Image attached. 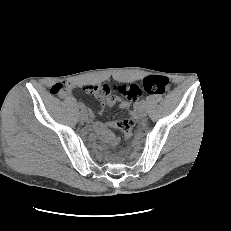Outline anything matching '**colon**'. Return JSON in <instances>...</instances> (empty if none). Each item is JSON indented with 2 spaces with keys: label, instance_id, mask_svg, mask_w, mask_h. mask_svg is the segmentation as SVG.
I'll return each instance as SVG.
<instances>
[{
  "label": "colon",
  "instance_id": "1",
  "mask_svg": "<svg viewBox=\"0 0 231 231\" xmlns=\"http://www.w3.org/2000/svg\"><path fill=\"white\" fill-rule=\"evenodd\" d=\"M172 82L165 76L152 75L144 78L142 81L130 85H117L112 88L109 85L102 87L103 95L108 96L112 90L120 93L130 100H136L142 94H168ZM67 91V86L63 83H56L51 88L54 95H62ZM117 127L123 133L125 140L132 137L133 121L129 118L123 119L117 123Z\"/></svg>",
  "mask_w": 231,
  "mask_h": 231
}]
</instances>
